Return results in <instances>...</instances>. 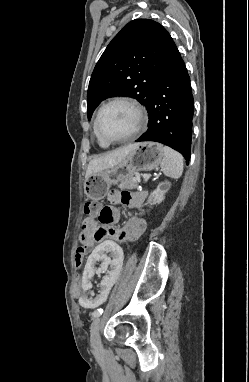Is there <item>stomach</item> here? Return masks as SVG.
Returning a JSON list of instances; mask_svg holds the SVG:
<instances>
[{
  "label": "stomach",
  "mask_w": 249,
  "mask_h": 382,
  "mask_svg": "<svg viewBox=\"0 0 249 382\" xmlns=\"http://www.w3.org/2000/svg\"><path fill=\"white\" fill-rule=\"evenodd\" d=\"M163 147L156 142L135 144L133 150L116 166L93 173L84 183V192L92 200H101L111 185L117 184L139 171H150L159 166Z\"/></svg>",
  "instance_id": "stomach-1"
}]
</instances>
